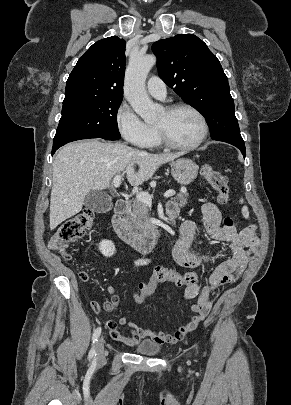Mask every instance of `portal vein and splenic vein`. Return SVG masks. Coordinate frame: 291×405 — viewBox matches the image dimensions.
Here are the masks:
<instances>
[{"label": "portal vein and splenic vein", "mask_w": 291, "mask_h": 405, "mask_svg": "<svg viewBox=\"0 0 291 405\" xmlns=\"http://www.w3.org/2000/svg\"><path fill=\"white\" fill-rule=\"evenodd\" d=\"M120 184H121V175H116L115 177H114V179H113V185H114V187H119L120 186ZM173 195H175V191L174 190H167L165 193H164V197L165 198H168V197H171V196H173ZM136 198H137V200H139V201H141V202H143V203H145V204H147V205H151L152 204V195H150V194H148L147 192H139L137 195H136Z\"/></svg>", "instance_id": "portal-vein-and-splenic-vein-1"}]
</instances>
